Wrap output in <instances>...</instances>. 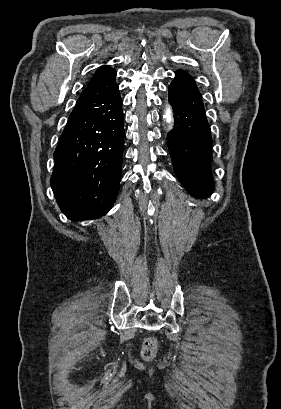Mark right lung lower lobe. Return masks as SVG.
Wrapping results in <instances>:
<instances>
[{"instance_id": "right-lung-lower-lobe-1", "label": "right lung lower lobe", "mask_w": 281, "mask_h": 409, "mask_svg": "<svg viewBox=\"0 0 281 409\" xmlns=\"http://www.w3.org/2000/svg\"><path fill=\"white\" fill-rule=\"evenodd\" d=\"M115 77L114 70L81 93L54 152L51 187L71 220L101 217L118 193L124 116Z\"/></svg>"}]
</instances>
